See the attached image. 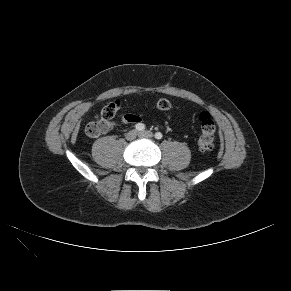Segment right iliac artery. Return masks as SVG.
<instances>
[{"mask_svg": "<svg viewBox=\"0 0 291 291\" xmlns=\"http://www.w3.org/2000/svg\"><path fill=\"white\" fill-rule=\"evenodd\" d=\"M135 129L138 131H143L145 129V125L143 123H138L135 125Z\"/></svg>", "mask_w": 291, "mask_h": 291, "instance_id": "obj_1", "label": "right iliac artery"}]
</instances>
